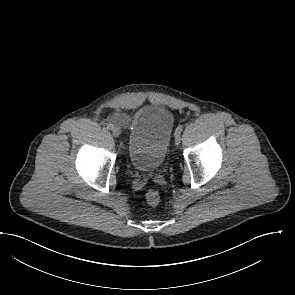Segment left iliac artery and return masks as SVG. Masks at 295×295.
<instances>
[{"instance_id":"obj_1","label":"left iliac artery","mask_w":295,"mask_h":295,"mask_svg":"<svg viewBox=\"0 0 295 295\" xmlns=\"http://www.w3.org/2000/svg\"><path fill=\"white\" fill-rule=\"evenodd\" d=\"M182 131H183V126L180 125V126L177 127L175 134L176 133H179L180 134Z\"/></svg>"}]
</instances>
